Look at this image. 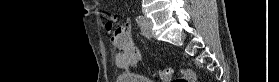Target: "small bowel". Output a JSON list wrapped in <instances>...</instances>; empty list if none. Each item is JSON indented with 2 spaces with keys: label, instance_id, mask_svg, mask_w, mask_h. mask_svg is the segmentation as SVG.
Segmentation results:
<instances>
[{
  "label": "small bowel",
  "instance_id": "small-bowel-1",
  "mask_svg": "<svg viewBox=\"0 0 279 82\" xmlns=\"http://www.w3.org/2000/svg\"><path fill=\"white\" fill-rule=\"evenodd\" d=\"M110 34L112 44L118 49L114 56L115 64L119 67L133 66L141 60V51L132 40V24L124 23L117 29L113 28L112 22L104 25Z\"/></svg>",
  "mask_w": 279,
  "mask_h": 82
}]
</instances>
